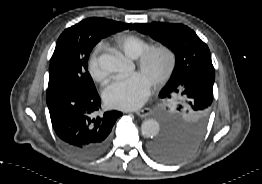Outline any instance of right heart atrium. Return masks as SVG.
Wrapping results in <instances>:
<instances>
[{
    "mask_svg": "<svg viewBox=\"0 0 262 184\" xmlns=\"http://www.w3.org/2000/svg\"><path fill=\"white\" fill-rule=\"evenodd\" d=\"M89 72L91 78L105 85L111 78V71L105 58L93 54L89 61Z\"/></svg>",
    "mask_w": 262,
    "mask_h": 184,
    "instance_id": "obj_1",
    "label": "right heart atrium"
}]
</instances>
